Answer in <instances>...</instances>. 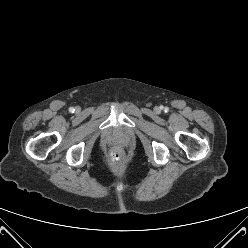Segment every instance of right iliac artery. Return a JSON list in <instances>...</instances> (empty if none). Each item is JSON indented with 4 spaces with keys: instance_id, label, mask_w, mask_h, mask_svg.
I'll return each mask as SVG.
<instances>
[{
    "instance_id": "1",
    "label": "right iliac artery",
    "mask_w": 248,
    "mask_h": 248,
    "mask_svg": "<svg viewBox=\"0 0 248 248\" xmlns=\"http://www.w3.org/2000/svg\"><path fill=\"white\" fill-rule=\"evenodd\" d=\"M69 111H70L71 113H73V112L75 111V109H74L73 107H71V108L69 109Z\"/></svg>"
}]
</instances>
